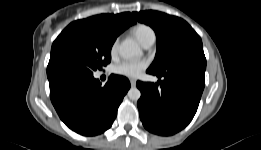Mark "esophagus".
Instances as JSON below:
<instances>
[{
    "label": "esophagus",
    "mask_w": 261,
    "mask_h": 150,
    "mask_svg": "<svg viewBox=\"0 0 261 150\" xmlns=\"http://www.w3.org/2000/svg\"><path fill=\"white\" fill-rule=\"evenodd\" d=\"M130 84L132 87L136 86V80L135 79H130Z\"/></svg>",
    "instance_id": "esophagus-1"
}]
</instances>
